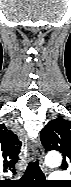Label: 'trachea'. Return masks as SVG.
Wrapping results in <instances>:
<instances>
[{"instance_id":"obj_1","label":"trachea","mask_w":71,"mask_h":187,"mask_svg":"<svg viewBox=\"0 0 71 187\" xmlns=\"http://www.w3.org/2000/svg\"><path fill=\"white\" fill-rule=\"evenodd\" d=\"M23 177L30 179L35 178L37 180L44 178V174L39 167L38 161L30 162L28 164L27 170Z\"/></svg>"}]
</instances>
